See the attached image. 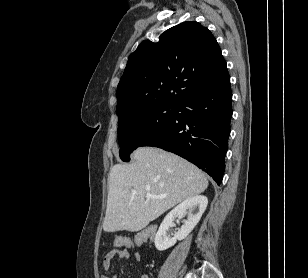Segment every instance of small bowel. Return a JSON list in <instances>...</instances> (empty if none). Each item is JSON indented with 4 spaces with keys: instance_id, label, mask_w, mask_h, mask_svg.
Returning <instances> with one entry per match:
<instances>
[{
    "instance_id": "obj_1",
    "label": "small bowel",
    "mask_w": 308,
    "mask_h": 278,
    "mask_svg": "<svg viewBox=\"0 0 308 278\" xmlns=\"http://www.w3.org/2000/svg\"><path fill=\"white\" fill-rule=\"evenodd\" d=\"M131 256V250L128 248L127 250H123L121 247H117L110 252L107 253V255L103 259L102 268L107 271L110 268L111 262L114 258L118 259H128ZM134 257L137 261L140 260V253L138 251L134 252ZM102 278H117L116 275L108 276L103 275ZM141 278H149V276L146 273L141 274Z\"/></svg>"
}]
</instances>
